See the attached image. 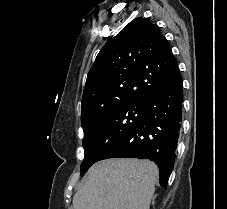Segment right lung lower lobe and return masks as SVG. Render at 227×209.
Masks as SVG:
<instances>
[{"instance_id": "1", "label": "right lung lower lobe", "mask_w": 227, "mask_h": 209, "mask_svg": "<svg viewBox=\"0 0 227 209\" xmlns=\"http://www.w3.org/2000/svg\"><path fill=\"white\" fill-rule=\"evenodd\" d=\"M157 72L170 81L145 101L139 122L102 158L153 160L160 169V185L167 188L173 169L182 118L183 89L178 64Z\"/></svg>"}]
</instances>
